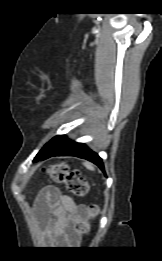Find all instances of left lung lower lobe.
I'll list each match as a JSON object with an SVG mask.
<instances>
[{
    "label": "left lung lower lobe",
    "instance_id": "0a47b994",
    "mask_svg": "<svg viewBox=\"0 0 162 261\" xmlns=\"http://www.w3.org/2000/svg\"><path fill=\"white\" fill-rule=\"evenodd\" d=\"M52 156H76L79 158H83L93 162L102 171H104L102 159L98 156L97 153L90 150L85 144L71 141L66 137L58 142L54 147H52L41 158V160H45Z\"/></svg>",
    "mask_w": 162,
    "mask_h": 261
}]
</instances>
